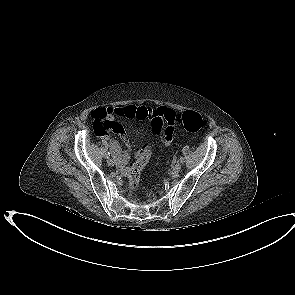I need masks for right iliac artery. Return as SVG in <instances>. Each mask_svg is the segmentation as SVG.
Instances as JSON below:
<instances>
[{
	"label": "right iliac artery",
	"instance_id": "obj_1",
	"mask_svg": "<svg viewBox=\"0 0 295 295\" xmlns=\"http://www.w3.org/2000/svg\"><path fill=\"white\" fill-rule=\"evenodd\" d=\"M110 154H111L110 152L107 153V158H108V159H109V157H110Z\"/></svg>",
	"mask_w": 295,
	"mask_h": 295
}]
</instances>
